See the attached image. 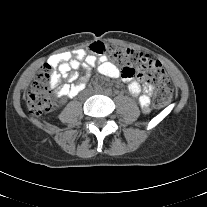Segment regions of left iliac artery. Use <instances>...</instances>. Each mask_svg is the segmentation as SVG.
<instances>
[{
  "mask_svg": "<svg viewBox=\"0 0 207 207\" xmlns=\"http://www.w3.org/2000/svg\"><path fill=\"white\" fill-rule=\"evenodd\" d=\"M106 93L110 95L112 92H111V90L107 89Z\"/></svg>",
  "mask_w": 207,
  "mask_h": 207,
  "instance_id": "left-iliac-artery-1",
  "label": "left iliac artery"
}]
</instances>
